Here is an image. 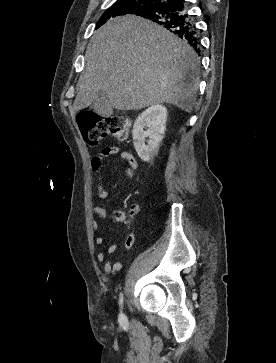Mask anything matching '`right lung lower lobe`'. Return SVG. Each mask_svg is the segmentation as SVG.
Here are the masks:
<instances>
[{
    "label": "right lung lower lobe",
    "mask_w": 276,
    "mask_h": 363,
    "mask_svg": "<svg viewBox=\"0 0 276 363\" xmlns=\"http://www.w3.org/2000/svg\"><path fill=\"white\" fill-rule=\"evenodd\" d=\"M135 15L150 19L178 37L186 40L200 52V41L192 17L188 15L184 0H160Z\"/></svg>",
    "instance_id": "98d812e1"
}]
</instances>
